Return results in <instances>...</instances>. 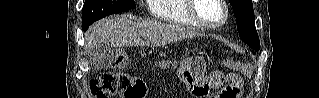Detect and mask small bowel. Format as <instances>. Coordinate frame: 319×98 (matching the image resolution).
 I'll use <instances>...</instances> for the list:
<instances>
[{"mask_svg": "<svg viewBox=\"0 0 319 98\" xmlns=\"http://www.w3.org/2000/svg\"><path fill=\"white\" fill-rule=\"evenodd\" d=\"M224 81V78L222 76H219L214 83H212L213 87L219 86Z\"/></svg>", "mask_w": 319, "mask_h": 98, "instance_id": "1", "label": "small bowel"}]
</instances>
